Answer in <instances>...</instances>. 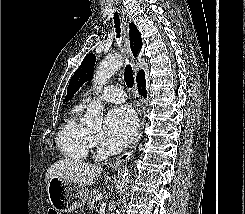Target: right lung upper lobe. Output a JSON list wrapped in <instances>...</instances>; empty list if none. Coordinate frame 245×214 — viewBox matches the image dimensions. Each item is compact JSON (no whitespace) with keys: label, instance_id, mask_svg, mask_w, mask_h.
<instances>
[{"label":"right lung upper lobe","instance_id":"obj_1","mask_svg":"<svg viewBox=\"0 0 245 214\" xmlns=\"http://www.w3.org/2000/svg\"><path fill=\"white\" fill-rule=\"evenodd\" d=\"M129 36L131 41V50L133 52V55L136 57L141 50L142 40L139 31L133 23L130 25ZM142 74H144V71L140 70L137 74V77L141 76Z\"/></svg>","mask_w":245,"mask_h":214}]
</instances>
